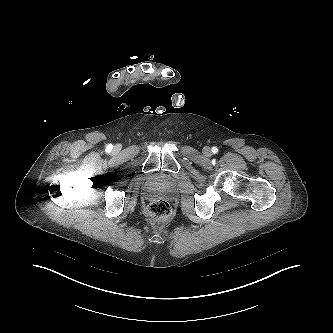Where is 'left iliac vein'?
I'll return each instance as SVG.
<instances>
[{"instance_id": "1", "label": "left iliac vein", "mask_w": 333, "mask_h": 333, "mask_svg": "<svg viewBox=\"0 0 333 333\" xmlns=\"http://www.w3.org/2000/svg\"><path fill=\"white\" fill-rule=\"evenodd\" d=\"M203 153L205 156H211L212 152H211V149L210 147L206 146L203 148Z\"/></svg>"}]
</instances>
